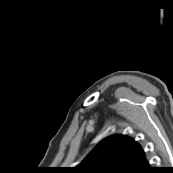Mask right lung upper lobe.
Instances as JSON below:
<instances>
[{"label": "right lung upper lobe", "mask_w": 173, "mask_h": 173, "mask_svg": "<svg viewBox=\"0 0 173 173\" xmlns=\"http://www.w3.org/2000/svg\"><path fill=\"white\" fill-rule=\"evenodd\" d=\"M144 159V152L135 140L116 134L102 140L72 171L73 173H126Z\"/></svg>", "instance_id": "right-lung-upper-lobe-1"}]
</instances>
